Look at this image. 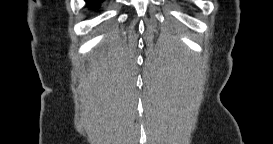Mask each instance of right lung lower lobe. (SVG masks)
Instances as JSON below:
<instances>
[{
	"instance_id": "right-lung-lower-lobe-1",
	"label": "right lung lower lobe",
	"mask_w": 273,
	"mask_h": 144,
	"mask_svg": "<svg viewBox=\"0 0 273 144\" xmlns=\"http://www.w3.org/2000/svg\"><path fill=\"white\" fill-rule=\"evenodd\" d=\"M86 2L90 8H99V5L103 0H86Z\"/></svg>"
}]
</instances>
